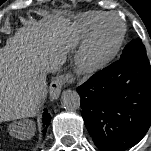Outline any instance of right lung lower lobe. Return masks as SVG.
Returning <instances> with one entry per match:
<instances>
[{
	"mask_svg": "<svg viewBox=\"0 0 151 151\" xmlns=\"http://www.w3.org/2000/svg\"><path fill=\"white\" fill-rule=\"evenodd\" d=\"M49 121H50V114H48L47 110L44 111V114H43V124H44V129H43V133L45 134L46 132V128L48 127L49 125Z\"/></svg>",
	"mask_w": 151,
	"mask_h": 151,
	"instance_id": "1",
	"label": "right lung lower lobe"
}]
</instances>
